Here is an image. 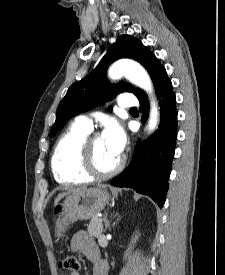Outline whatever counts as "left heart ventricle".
<instances>
[{
	"mask_svg": "<svg viewBox=\"0 0 225 275\" xmlns=\"http://www.w3.org/2000/svg\"><path fill=\"white\" fill-rule=\"evenodd\" d=\"M91 148L96 168L101 172L112 170L118 163L120 157L115 156L106 146L102 137L92 141Z\"/></svg>",
	"mask_w": 225,
	"mask_h": 275,
	"instance_id": "1",
	"label": "left heart ventricle"
}]
</instances>
